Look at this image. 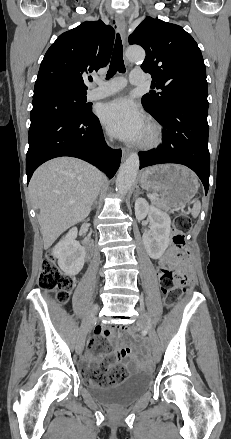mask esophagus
I'll return each instance as SVG.
<instances>
[{
  "label": "esophagus",
  "instance_id": "esophagus-1",
  "mask_svg": "<svg viewBox=\"0 0 231 439\" xmlns=\"http://www.w3.org/2000/svg\"><path fill=\"white\" fill-rule=\"evenodd\" d=\"M115 24L117 29L121 35L123 43H126V23L122 14H116L115 16ZM130 154V150L127 148L122 149L123 158L127 157Z\"/></svg>",
  "mask_w": 231,
  "mask_h": 439
}]
</instances>
